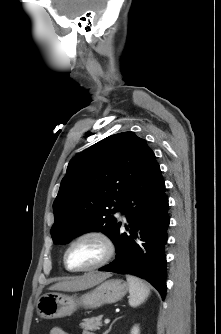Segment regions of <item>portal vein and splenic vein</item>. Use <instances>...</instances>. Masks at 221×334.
<instances>
[{
    "label": "portal vein and splenic vein",
    "mask_w": 221,
    "mask_h": 334,
    "mask_svg": "<svg viewBox=\"0 0 221 334\" xmlns=\"http://www.w3.org/2000/svg\"><path fill=\"white\" fill-rule=\"evenodd\" d=\"M109 322H110L109 319H105V320H104V323H105V324H108Z\"/></svg>",
    "instance_id": "portal-vein-and-splenic-vein-1"
}]
</instances>
